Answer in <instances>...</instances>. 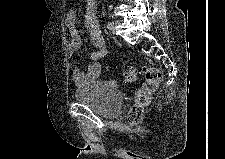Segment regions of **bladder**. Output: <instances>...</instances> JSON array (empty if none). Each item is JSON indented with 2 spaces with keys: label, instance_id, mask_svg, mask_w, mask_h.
Returning <instances> with one entry per match:
<instances>
[{
  "label": "bladder",
  "instance_id": "bladder-1",
  "mask_svg": "<svg viewBox=\"0 0 225 159\" xmlns=\"http://www.w3.org/2000/svg\"><path fill=\"white\" fill-rule=\"evenodd\" d=\"M74 98L79 104L88 106L97 115L106 119L118 117L124 101L117 87L100 80L78 87Z\"/></svg>",
  "mask_w": 225,
  "mask_h": 159
}]
</instances>
